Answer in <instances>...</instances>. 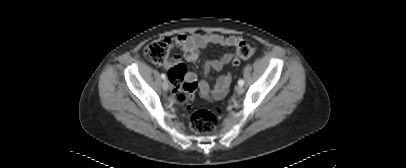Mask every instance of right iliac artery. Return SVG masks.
<instances>
[{"label":"right iliac artery","instance_id":"1","mask_svg":"<svg viewBox=\"0 0 406 168\" xmlns=\"http://www.w3.org/2000/svg\"><path fill=\"white\" fill-rule=\"evenodd\" d=\"M161 78H162V79H165V78H166V75H165L164 73H162V74H161Z\"/></svg>","mask_w":406,"mask_h":168}]
</instances>
